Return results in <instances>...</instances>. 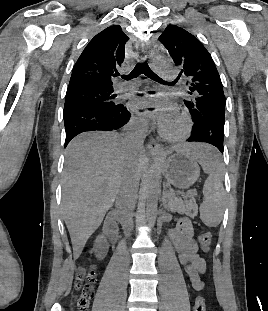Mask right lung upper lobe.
I'll return each instance as SVG.
<instances>
[{
    "label": "right lung upper lobe",
    "mask_w": 268,
    "mask_h": 311,
    "mask_svg": "<svg viewBox=\"0 0 268 311\" xmlns=\"http://www.w3.org/2000/svg\"><path fill=\"white\" fill-rule=\"evenodd\" d=\"M128 40L119 25L110 26L97 34L77 60L68 88L81 85L113 88L111 77L124 61Z\"/></svg>",
    "instance_id": "right-lung-upper-lobe-1"
}]
</instances>
